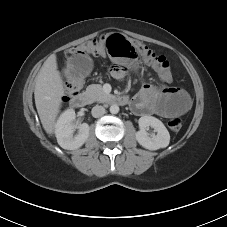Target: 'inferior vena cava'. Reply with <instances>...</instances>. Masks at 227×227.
Masks as SVG:
<instances>
[{"instance_id": "1", "label": "inferior vena cava", "mask_w": 227, "mask_h": 227, "mask_svg": "<svg viewBox=\"0 0 227 227\" xmlns=\"http://www.w3.org/2000/svg\"><path fill=\"white\" fill-rule=\"evenodd\" d=\"M105 108L103 106L96 105L92 108V116L95 118L101 117L105 114Z\"/></svg>"}]
</instances>
